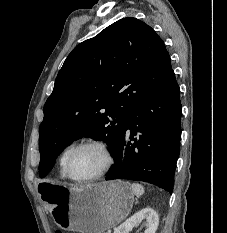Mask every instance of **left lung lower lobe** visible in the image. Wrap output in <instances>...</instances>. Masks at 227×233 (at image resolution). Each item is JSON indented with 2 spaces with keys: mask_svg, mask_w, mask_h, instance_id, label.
Returning <instances> with one entry per match:
<instances>
[{
  "mask_svg": "<svg viewBox=\"0 0 227 233\" xmlns=\"http://www.w3.org/2000/svg\"><path fill=\"white\" fill-rule=\"evenodd\" d=\"M181 113L180 89L172 70L155 92L132 107L106 180L144 181L172 194Z\"/></svg>",
  "mask_w": 227,
  "mask_h": 233,
  "instance_id": "1",
  "label": "left lung lower lobe"
}]
</instances>
